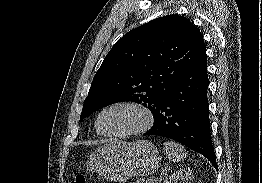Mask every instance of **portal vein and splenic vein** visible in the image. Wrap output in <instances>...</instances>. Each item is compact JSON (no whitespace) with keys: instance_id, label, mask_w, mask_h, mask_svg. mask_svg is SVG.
Listing matches in <instances>:
<instances>
[{"instance_id":"portal-vein-and-splenic-vein-1","label":"portal vein and splenic vein","mask_w":262,"mask_h":183,"mask_svg":"<svg viewBox=\"0 0 262 183\" xmlns=\"http://www.w3.org/2000/svg\"><path fill=\"white\" fill-rule=\"evenodd\" d=\"M154 181H158V179H153Z\"/></svg>"}]
</instances>
